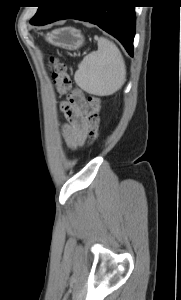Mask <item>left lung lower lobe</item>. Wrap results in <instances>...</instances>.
<instances>
[{"label":"left lung lower lobe","instance_id":"1","mask_svg":"<svg viewBox=\"0 0 181 300\" xmlns=\"http://www.w3.org/2000/svg\"><path fill=\"white\" fill-rule=\"evenodd\" d=\"M131 0H56L48 15L38 24L77 19L96 24L115 38L133 56L135 5Z\"/></svg>","mask_w":181,"mask_h":300}]
</instances>
